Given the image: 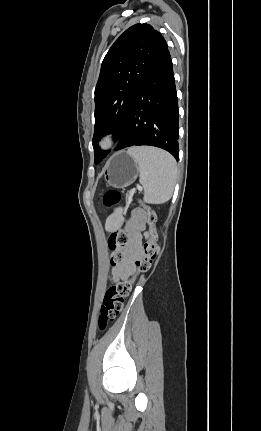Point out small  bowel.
I'll list each match as a JSON object with an SVG mask.
<instances>
[{"mask_svg":"<svg viewBox=\"0 0 261 431\" xmlns=\"http://www.w3.org/2000/svg\"><path fill=\"white\" fill-rule=\"evenodd\" d=\"M145 217L142 212H135L127 225L129 243L126 246L125 261L115 266L111 271L112 281L126 279L136 275L135 262L140 255V244L144 237Z\"/></svg>","mask_w":261,"mask_h":431,"instance_id":"small-bowel-1","label":"small bowel"}]
</instances>
